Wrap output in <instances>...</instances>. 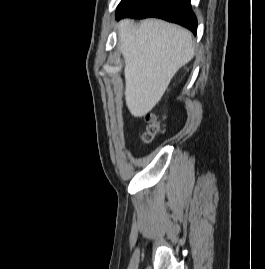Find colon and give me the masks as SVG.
Here are the masks:
<instances>
[{
	"label": "colon",
	"instance_id": "1",
	"mask_svg": "<svg viewBox=\"0 0 265 269\" xmlns=\"http://www.w3.org/2000/svg\"><path fill=\"white\" fill-rule=\"evenodd\" d=\"M147 120L149 124L143 139L146 143H150L155 139L156 136L163 133L164 125L156 116L153 115L148 116Z\"/></svg>",
	"mask_w": 265,
	"mask_h": 269
}]
</instances>
